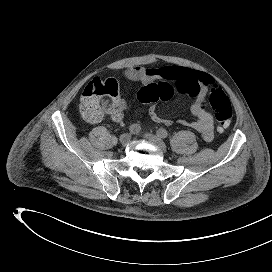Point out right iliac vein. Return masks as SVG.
I'll list each match as a JSON object with an SVG mask.
<instances>
[{"label": "right iliac vein", "instance_id": "right-iliac-vein-1", "mask_svg": "<svg viewBox=\"0 0 272 272\" xmlns=\"http://www.w3.org/2000/svg\"><path fill=\"white\" fill-rule=\"evenodd\" d=\"M131 140V135L128 133H125L123 135L120 136V142L122 145H127Z\"/></svg>", "mask_w": 272, "mask_h": 272}]
</instances>
